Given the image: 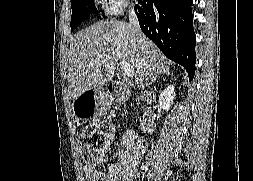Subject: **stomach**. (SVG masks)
<instances>
[{"mask_svg": "<svg viewBox=\"0 0 253 181\" xmlns=\"http://www.w3.org/2000/svg\"><path fill=\"white\" fill-rule=\"evenodd\" d=\"M109 103V95L102 88L90 89L75 99L73 112L78 119L87 120L104 114Z\"/></svg>", "mask_w": 253, "mask_h": 181, "instance_id": "stomach-1", "label": "stomach"}]
</instances>
